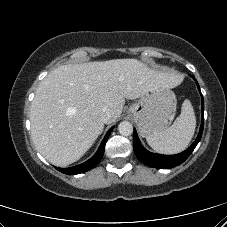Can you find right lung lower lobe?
<instances>
[{"label": "right lung lower lobe", "mask_w": 227, "mask_h": 227, "mask_svg": "<svg viewBox=\"0 0 227 227\" xmlns=\"http://www.w3.org/2000/svg\"><path fill=\"white\" fill-rule=\"evenodd\" d=\"M112 130H113V128H111L107 132V134L105 135L104 139L102 140L97 152L88 161H86V162H84L80 165L70 167V168H57L56 167V169L58 171L64 173V174H67V175H75V174H79V173L89 171L92 168H94L101 161V159L103 157L105 144H106V141H107Z\"/></svg>", "instance_id": "1"}]
</instances>
